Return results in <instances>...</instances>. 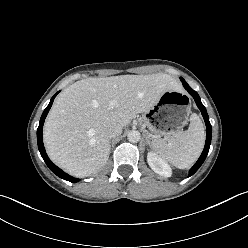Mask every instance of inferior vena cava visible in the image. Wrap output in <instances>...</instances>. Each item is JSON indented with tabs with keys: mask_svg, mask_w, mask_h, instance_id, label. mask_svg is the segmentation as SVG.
<instances>
[{
	"mask_svg": "<svg viewBox=\"0 0 248 248\" xmlns=\"http://www.w3.org/2000/svg\"><path fill=\"white\" fill-rule=\"evenodd\" d=\"M122 133V126L111 124L106 129V134L109 138L119 136Z\"/></svg>",
	"mask_w": 248,
	"mask_h": 248,
	"instance_id": "obj_1",
	"label": "inferior vena cava"
}]
</instances>
